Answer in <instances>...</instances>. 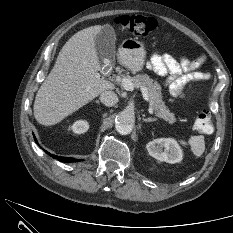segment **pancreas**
<instances>
[{
  "label": "pancreas",
  "mask_w": 233,
  "mask_h": 233,
  "mask_svg": "<svg viewBox=\"0 0 233 233\" xmlns=\"http://www.w3.org/2000/svg\"><path fill=\"white\" fill-rule=\"evenodd\" d=\"M128 79L132 82L134 88H146L150 105L157 117L167 121L169 124H173L176 121L174 114L170 112L169 108L162 101L161 87L156 81L146 74L136 75Z\"/></svg>",
  "instance_id": "pancreas-1"
}]
</instances>
